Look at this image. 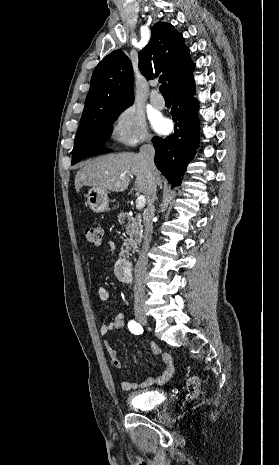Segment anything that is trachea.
Instances as JSON below:
<instances>
[{
  "instance_id": "1",
  "label": "trachea",
  "mask_w": 279,
  "mask_h": 465,
  "mask_svg": "<svg viewBox=\"0 0 279 465\" xmlns=\"http://www.w3.org/2000/svg\"><path fill=\"white\" fill-rule=\"evenodd\" d=\"M161 94L165 97V96H170V92L168 90V87H167V84L166 83H162L160 88H159Z\"/></svg>"
}]
</instances>
